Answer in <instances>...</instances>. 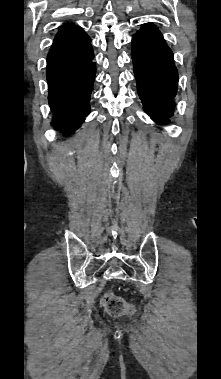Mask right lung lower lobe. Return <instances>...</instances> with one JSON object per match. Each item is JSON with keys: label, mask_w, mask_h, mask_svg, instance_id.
<instances>
[{"label": "right lung lower lobe", "mask_w": 221, "mask_h": 379, "mask_svg": "<svg viewBox=\"0 0 221 379\" xmlns=\"http://www.w3.org/2000/svg\"><path fill=\"white\" fill-rule=\"evenodd\" d=\"M91 39L79 26L58 34L47 56L49 105L53 127L73 132L90 113L96 74Z\"/></svg>", "instance_id": "1"}]
</instances>
